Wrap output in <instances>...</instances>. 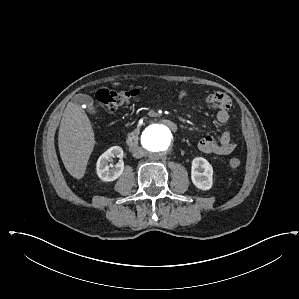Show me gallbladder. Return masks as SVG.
Wrapping results in <instances>:
<instances>
[{"label": "gallbladder", "instance_id": "obj_1", "mask_svg": "<svg viewBox=\"0 0 299 299\" xmlns=\"http://www.w3.org/2000/svg\"><path fill=\"white\" fill-rule=\"evenodd\" d=\"M73 103L78 106H82L90 114L94 115L97 113L93 104V99L89 95L77 94L73 97Z\"/></svg>", "mask_w": 299, "mask_h": 299}]
</instances>
